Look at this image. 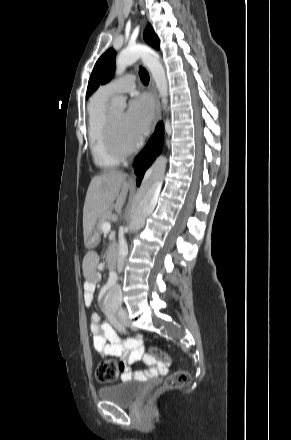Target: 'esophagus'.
<instances>
[{
  "label": "esophagus",
  "instance_id": "esophagus-1",
  "mask_svg": "<svg viewBox=\"0 0 291 440\" xmlns=\"http://www.w3.org/2000/svg\"><path fill=\"white\" fill-rule=\"evenodd\" d=\"M150 90L154 98L155 102V111H154V127L160 119V101L157 93V89L153 80L152 75L150 74Z\"/></svg>",
  "mask_w": 291,
  "mask_h": 440
}]
</instances>
